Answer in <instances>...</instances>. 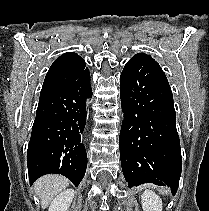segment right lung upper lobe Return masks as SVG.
Returning a JSON list of instances; mask_svg holds the SVG:
<instances>
[{
	"mask_svg": "<svg viewBox=\"0 0 209 211\" xmlns=\"http://www.w3.org/2000/svg\"><path fill=\"white\" fill-rule=\"evenodd\" d=\"M87 68L76 53L67 52L51 65L40 93V99L78 79Z\"/></svg>",
	"mask_w": 209,
	"mask_h": 211,
	"instance_id": "obj_1",
	"label": "right lung upper lobe"
}]
</instances>
